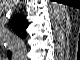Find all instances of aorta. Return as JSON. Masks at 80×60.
<instances>
[{"mask_svg": "<svg viewBox=\"0 0 80 60\" xmlns=\"http://www.w3.org/2000/svg\"><path fill=\"white\" fill-rule=\"evenodd\" d=\"M6 36L8 37V39L12 41V43L15 45L17 50H21L24 48V43L22 40L9 34H7Z\"/></svg>", "mask_w": 80, "mask_h": 60, "instance_id": "1", "label": "aorta"}]
</instances>
